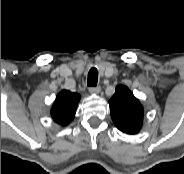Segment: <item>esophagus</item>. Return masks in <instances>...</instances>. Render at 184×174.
<instances>
[{
	"instance_id": "obj_1",
	"label": "esophagus",
	"mask_w": 184,
	"mask_h": 174,
	"mask_svg": "<svg viewBox=\"0 0 184 174\" xmlns=\"http://www.w3.org/2000/svg\"><path fill=\"white\" fill-rule=\"evenodd\" d=\"M101 91V87L100 86H96V87H90L89 88V92L92 94H98Z\"/></svg>"
}]
</instances>
